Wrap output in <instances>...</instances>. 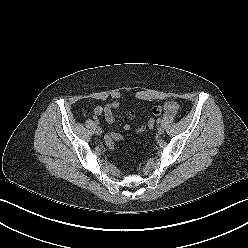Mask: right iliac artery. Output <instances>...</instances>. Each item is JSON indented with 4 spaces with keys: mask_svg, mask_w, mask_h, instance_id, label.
Listing matches in <instances>:
<instances>
[{
    "mask_svg": "<svg viewBox=\"0 0 248 248\" xmlns=\"http://www.w3.org/2000/svg\"><path fill=\"white\" fill-rule=\"evenodd\" d=\"M95 124H96V125H97V124H99L98 120H97V121H95Z\"/></svg>",
    "mask_w": 248,
    "mask_h": 248,
    "instance_id": "82829eb1",
    "label": "right iliac artery"
}]
</instances>
